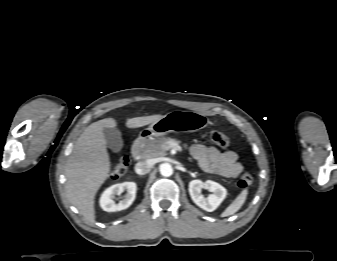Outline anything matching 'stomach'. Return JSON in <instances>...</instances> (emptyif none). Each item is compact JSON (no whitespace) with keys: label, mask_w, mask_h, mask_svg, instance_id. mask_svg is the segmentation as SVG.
Here are the masks:
<instances>
[{"label":"stomach","mask_w":337,"mask_h":261,"mask_svg":"<svg viewBox=\"0 0 337 261\" xmlns=\"http://www.w3.org/2000/svg\"><path fill=\"white\" fill-rule=\"evenodd\" d=\"M209 119L195 111L175 110L153 122L141 135L160 137L169 133H191L207 127Z\"/></svg>","instance_id":"1"}]
</instances>
